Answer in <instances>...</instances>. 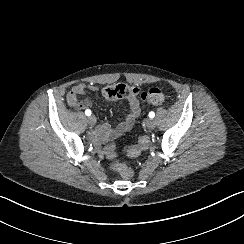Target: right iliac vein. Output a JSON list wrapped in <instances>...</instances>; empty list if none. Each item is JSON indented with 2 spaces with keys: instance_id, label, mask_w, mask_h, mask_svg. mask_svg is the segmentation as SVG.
I'll list each match as a JSON object with an SVG mask.
<instances>
[{
  "instance_id": "right-iliac-vein-1",
  "label": "right iliac vein",
  "mask_w": 244,
  "mask_h": 244,
  "mask_svg": "<svg viewBox=\"0 0 244 244\" xmlns=\"http://www.w3.org/2000/svg\"><path fill=\"white\" fill-rule=\"evenodd\" d=\"M87 121H88V123H89L90 125H95L97 120H96V117H95L94 115H90V116L88 117Z\"/></svg>"
}]
</instances>
